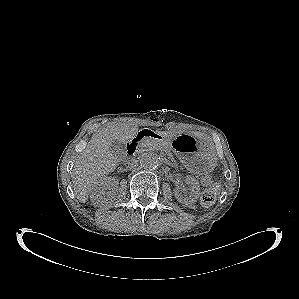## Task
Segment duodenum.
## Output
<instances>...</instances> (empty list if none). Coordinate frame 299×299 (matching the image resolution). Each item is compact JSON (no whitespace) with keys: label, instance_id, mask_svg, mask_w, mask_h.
<instances>
[{"label":"duodenum","instance_id":"1","mask_svg":"<svg viewBox=\"0 0 299 299\" xmlns=\"http://www.w3.org/2000/svg\"><path fill=\"white\" fill-rule=\"evenodd\" d=\"M146 137H156V134L151 130H142L140 131L127 145V153L129 155H133L137 148L139 143Z\"/></svg>","mask_w":299,"mask_h":299}]
</instances>
